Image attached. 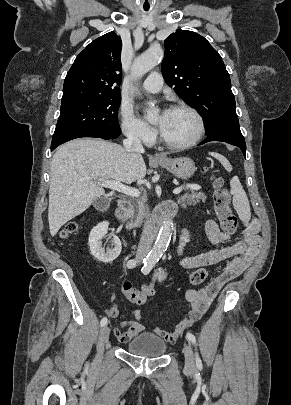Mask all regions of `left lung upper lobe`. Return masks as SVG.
Masks as SVG:
<instances>
[{"label":"left lung upper lobe","mask_w":291,"mask_h":405,"mask_svg":"<svg viewBox=\"0 0 291 405\" xmlns=\"http://www.w3.org/2000/svg\"><path fill=\"white\" fill-rule=\"evenodd\" d=\"M164 42L165 82L199 111L207 134L240 130L229 73L218 52L204 37L187 30H177Z\"/></svg>","instance_id":"obj_1"}]
</instances>
